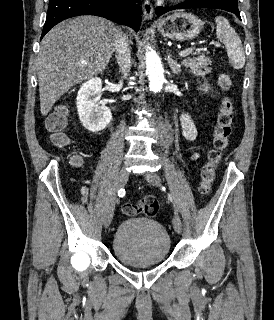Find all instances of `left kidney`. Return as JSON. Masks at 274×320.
Instances as JSON below:
<instances>
[{
	"label": "left kidney",
	"instance_id": "1",
	"mask_svg": "<svg viewBox=\"0 0 274 320\" xmlns=\"http://www.w3.org/2000/svg\"><path fill=\"white\" fill-rule=\"evenodd\" d=\"M198 90H203V92H209L208 86H205V88H198Z\"/></svg>",
	"mask_w": 274,
	"mask_h": 320
}]
</instances>
